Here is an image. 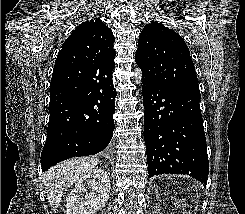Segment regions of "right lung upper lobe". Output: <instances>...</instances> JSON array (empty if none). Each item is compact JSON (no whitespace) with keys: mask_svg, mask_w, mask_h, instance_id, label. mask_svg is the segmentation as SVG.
<instances>
[{"mask_svg":"<svg viewBox=\"0 0 245 214\" xmlns=\"http://www.w3.org/2000/svg\"><path fill=\"white\" fill-rule=\"evenodd\" d=\"M114 35L99 19L80 24L63 43L55 61L51 94L76 95L100 68L114 67Z\"/></svg>","mask_w":245,"mask_h":214,"instance_id":"right-lung-upper-lobe-1","label":"right lung upper lobe"}]
</instances>
